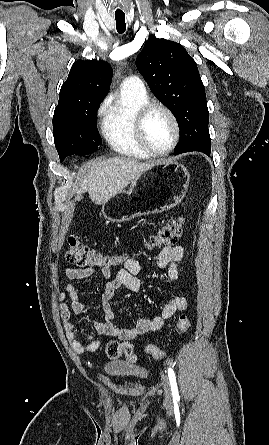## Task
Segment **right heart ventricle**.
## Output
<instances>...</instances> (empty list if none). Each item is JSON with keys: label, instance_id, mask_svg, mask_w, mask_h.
<instances>
[{"label": "right heart ventricle", "instance_id": "right-heart-ventricle-1", "mask_svg": "<svg viewBox=\"0 0 269 445\" xmlns=\"http://www.w3.org/2000/svg\"><path fill=\"white\" fill-rule=\"evenodd\" d=\"M146 102V93L121 88L118 98L106 110L102 120V133L117 153L140 160L151 157L138 144L134 131L136 112Z\"/></svg>", "mask_w": 269, "mask_h": 445}]
</instances>
